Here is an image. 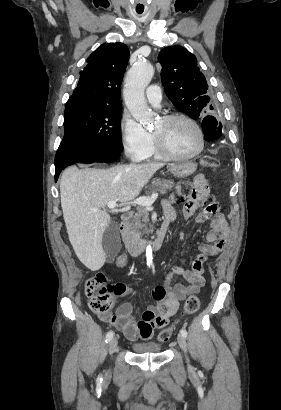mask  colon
Masks as SVG:
<instances>
[{
  "label": "colon",
  "mask_w": 281,
  "mask_h": 410,
  "mask_svg": "<svg viewBox=\"0 0 281 410\" xmlns=\"http://www.w3.org/2000/svg\"><path fill=\"white\" fill-rule=\"evenodd\" d=\"M203 168L215 172L218 169V161L210 156H206L201 160ZM193 189L190 185L184 184L180 189V195H190ZM199 204L203 207L205 213L211 217H217L222 215L220 205L215 201L214 197L210 194L203 195ZM126 264V256L120 254L116 259V265L123 267ZM117 290L116 285L108 282L107 277L103 273H97L88 278L85 282V295L89 300L90 309L98 314H104L110 310L113 304V295ZM200 306V300L196 295H191L187 298L182 311V317H188L194 314ZM180 321H175L170 327L162 330L158 335V340L161 342L168 341L175 330L177 329Z\"/></svg>",
  "instance_id": "obj_1"
}]
</instances>
